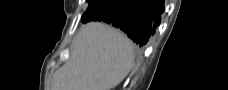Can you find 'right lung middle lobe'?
Returning <instances> with one entry per match:
<instances>
[{
	"instance_id": "obj_1",
	"label": "right lung middle lobe",
	"mask_w": 228,
	"mask_h": 90,
	"mask_svg": "<svg viewBox=\"0 0 228 90\" xmlns=\"http://www.w3.org/2000/svg\"><path fill=\"white\" fill-rule=\"evenodd\" d=\"M90 3H94V4H98L100 2V0H87Z\"/></svg>"
}]
</instances>
